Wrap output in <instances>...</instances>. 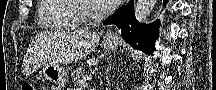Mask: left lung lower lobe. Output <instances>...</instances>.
I'll use <instances>...</instances> for the list:
<instances>
[{
    "mask_svg": "<svg viewBox=\"0 0 216 90\" xmlns=\"http://www.w3.org/2000/svg\"><path fill=\"white\" fill-rule=\"evenodd\" d=\"M166 0H164L165 2ZM106 24H116L121 29L123 39L132 47L147 54L154 50L155 39L158 36L159 22L146 25L135 19L133 1L127 6L120 7L112 16L104 21Z\"/></svg>",
    "mask_w": 216,
    "mask_h": 90,
    "instance_id": "1",
    "label": "left lung lower lobe"
}]
</instances>
